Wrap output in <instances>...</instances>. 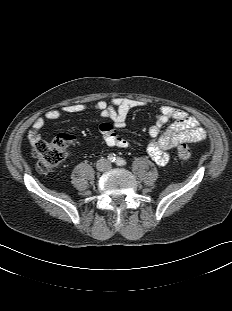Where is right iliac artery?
I'll return each instance as SVG.
<instances>
[{"instance_id": "obj_1", "label": "right iliac artery", "mask_w": 232, "mask_h": 311, "mask_svg": "<svg viewBox=\"0 0 232 311\" xmlns=\"http://www.w3.org/2000/svg\"><path fill=\"white\" fill-rule=\"evenodd\" d=\"M108 159L110 162H114L116 160V157L114 154H111L110 156H108Z\"/></svg>"}]
</instances>
